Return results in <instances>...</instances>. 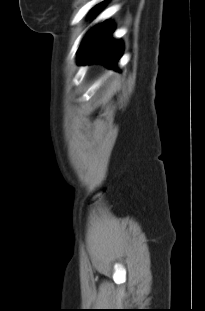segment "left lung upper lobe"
Returning <instances> with one entry per match:
<instances>
[{"instance_id": "1", "label": "left lung upper lobe", "mask_w": 205, "mask_h": 311, "mask_svg": "<svg viewBox=\"0 0 205 311\" xmlns=\"http://www.w3.org/2000/svg\"><path fill=\"white\" fill-rule=\"evenodd\" d=\"M105 3H106V1H105V2H102V3L98 4V5H96V6L93 8V10H94V11H97V10L101 9V8L105 5ZM103 25H104V24H100V25H98L97 27L93 28V29L87 34V36H86L85 39H87L89 36H91L95 31H97V30H98L101 26H103Z\"/></svg>"}]
</instances>
